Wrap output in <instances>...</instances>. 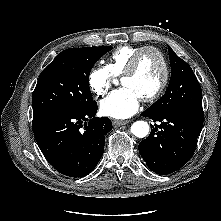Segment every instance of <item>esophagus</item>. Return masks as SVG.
Listing matches in <instances>:
<instances>
[{"mask_svg":"<svg viewBox=\"0 0 221 221\" xmlns=\"http://www.w3.org/2000/svg\"><path fill=\"white\" fill-rule=\"evenodd\" d=\"M129 123V120H114L113 121V125L118 127V126H121V125H125Z\"/></svg>","mask_w":221,"mask_h":221,"instance_id":"1","label":"esophagus"}]
</instances>
